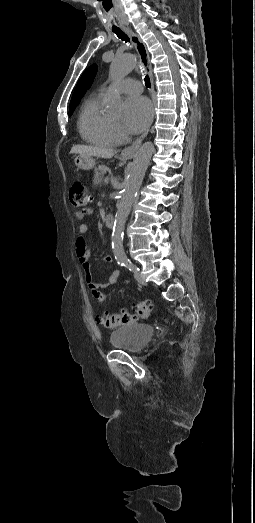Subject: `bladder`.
<instances>
[{"label": "bladder", "mask_w": 255, "mask_h": 523, "mask_svg": "<svg viewBox=\"0 0 255 523\" xmlns=\"http://www.w3.org/2000/svg\"><path fill=\"white\" fill-rule=\"evenodd\" d=\"M154 330L147 324H126L110 335V345L129 352L140 351L153 336Z\"/></svg>", "instance_id": "bladder-1"}]
</instances>
